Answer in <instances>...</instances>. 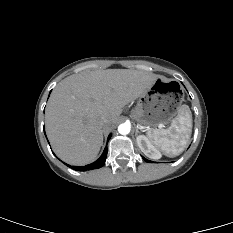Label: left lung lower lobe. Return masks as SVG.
Masks as SVG:
<instances>
[{
	"label": "left lung lower lobe",
	"mask_w": 233,
	"mask_h": 233,
	"mask_svg": "<svg viewBox=\"0 0 233 233\" xmlns=\"http://www.w3.org/2000/svg\"><path fill=\"white\" fill-rule=\"evenodd\" d=\"M143 159H144L146 162H151V161H149V160L145 159L144 157H143Z\"/></svg>",
	"instance_id": "1"
}]
</instances>
